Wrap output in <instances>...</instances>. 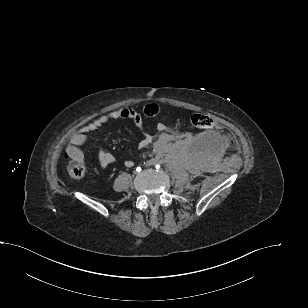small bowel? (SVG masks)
Returning <instances> with one entry per match:
<instances>
[{
  "instance_id": "small-bowel-1",
  "label": "small bowel",
  "mask_w": 308,
  "mask_h": 308,
  "mask_svg": "<svg viewBox=\"0 0 308 308\" xmlns=\"http://www.w3.org/2000/svg\"><path fill=\"white\" fill-rule=\"evenodd\" d=\"M160 113V107L156 104H147L143 112H139L131 107H124L115 111H112L108 114L102 115L95 120L89 122L82 128H80L70 139V143L67 146L66 152L67 155L71 158L84 159V155L80 149L82 145L87 140V136L90 133H93L99 130L103 125L109 121L118 120V119H128L131 120L135 126L142 132L143 138L138 143L140 149L147 148L150 145L154 144L156 148L163 149L171 141L174 140V133L169 131L168 127L164 123L157 124V130L160 132V135L157 139L146 132L144 128V117H155ZM97 159L100 162L102 168H106L115 161V156L106 150H99L97 152ZM127 167H132L134 165L133 161L127 160L125 162Z\"/></svg>"
}]
</instances>
